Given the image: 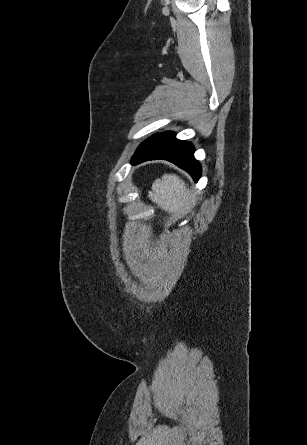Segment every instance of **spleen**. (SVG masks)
<instances>
[{
    "label": "spleen",
    "mask_w": 307,
    "mask_h": 445,
    "mask_svg": "<svg viewBox=\"0 0 307 445\" xmlns=\"http://www.w3.org/2000/svg\"><path fill=\"white\" fill-rule=\"evenodd\" d=\"M148 196L167 212L186 214L193 206L192 194L177 174H162L161 178H156L151 190H148Z\"/></svg>",
    "instance_id": "3e777b00"
}]
</instances>
